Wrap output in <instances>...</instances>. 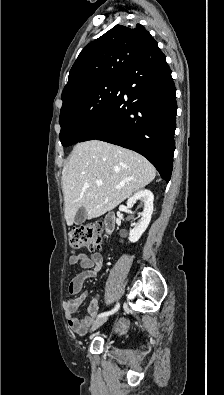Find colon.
<instances>
[{"mask_svg":"<svg viewBox=\"0 0 224 395\" xmlns=\"http://www.w3.org/2000/svg\"><path fill=\"white\" fill-rule=\"evenodd\" d=\"M101 226H87L73 229L68 233V243L73 250L83 247L97 248L101 244Z\"/></svg>","mask_w":224,"mask_h":395,"instance_id":"colon-1","label":"colon"}]
</instances>
